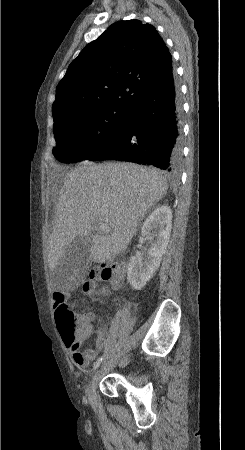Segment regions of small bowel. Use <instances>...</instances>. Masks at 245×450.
I'll return each instance as SVG.
<instances>
[{
    "label": "small bowel",
    "mask_w": 245,
    "mask_h": 450,
    "mask_svg": "<svg viewBox=\"0 0 245 450\" xmlns=\"http://www.w3.org/2000/svg\"><path fill=\"white\" fill-rule=\"evenodd\" d=\"M87 284H85L86 286ZM104 295H109V291H104L103 292ZM79 320L82 321H86L89 323L90 325V331L92 330V323L95 320V314L93 312H87L83 315H81L79 317ZM96 340H95V346L94 349H86L83 352L80 351V345L81 342L79 344L77 343H73V344H67L65 343L70 357L72 358V360L75 362V364L77 365H81L83 367H86L90 361H92L95 357L96 354L104 347L105 345V329L104 328H98L96 330ZM81 356V361H78V356Z\"/></svg>",
    "instance_id": "1"
}]
</instances>
